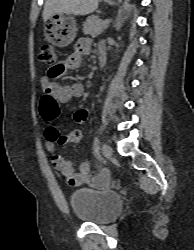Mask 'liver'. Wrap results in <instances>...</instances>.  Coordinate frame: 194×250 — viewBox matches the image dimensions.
I'll use <instances>...</instances> for the list:
<instances>
[{
    "label": "liver",
    "instance_id": "obj_1",
    "mask_svg": "<svg viewBox=\"0 0 194 250\" xmlns=\"http://www.w3.org/2000/svg\"><path fill=\"white\" fill-rule=\"evenodd\" d=\"M98 4L99 0H46L42 14L43 20L46 22L57 13L88 15L98 8Z\"/></svg>",
    "mask_w": 194,
    "mask_h": 250
}]
</instances>
